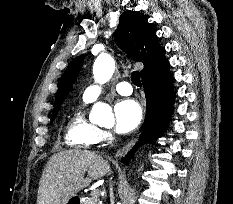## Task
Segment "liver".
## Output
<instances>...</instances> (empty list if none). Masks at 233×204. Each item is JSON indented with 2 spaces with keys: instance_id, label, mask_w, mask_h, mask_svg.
I'll return each instance as SVG.
<instances>
[{
  "instance_id": "obj_1",
  "label": "liver",
  "mask_w": 233,
  "mask_h": 204,
  "mask_svg": "<svg viewBox=\"0 0 233 204\" xmlns=\"http://www.w3.org/2000/svg\"><path fill=\"white\" fill-rule=\"evenodd\" d=\"M110 171L108 161L88 150H64L47 162L39 181L37 204H66L70 198ZM88 177L85 178V173Z\"/></svg>"
}]
</instances>
